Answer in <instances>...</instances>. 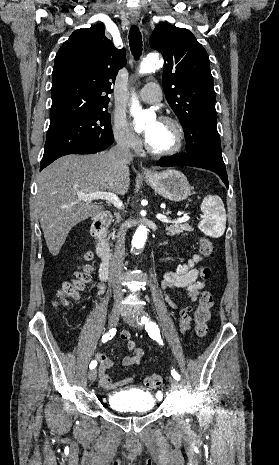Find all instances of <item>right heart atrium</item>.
<instances>
[{
    "label": "right heart atrium",
    "instance_id": "1",
    "mask_svg": "<svg viewBox=\"0 0 279 465\" xmlns=\"http://www.w3.org/2000/svg\"><path fill=\"white\" fill-rule=\"evenodd\" d=\"M113 137L117 145L128 151H135L140 147L139 138L130 130L126 119L117 115L112 125Z\"/></svg>",
    "mask_w": 279,
    "mask_h": 465
}]
</instances>
